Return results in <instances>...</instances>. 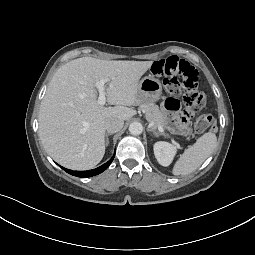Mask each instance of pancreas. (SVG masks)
I'll list each match as a JSON object with an SVG mask.
<instances>
[{
    "label": "pancreas",
    "instance_id": "obj_1",
    "mask_svg": "<svg viewBox=\"0 0 255 255\" xmlns=\"http://www.w3.org/2000/svg\"><path fill=\"white\" fill-rule=\"evenodd\" d=\"M140 109L145 113L146 119L153 124V128L165 127L163 114L154 103H143Z\"/></svg>",
    "mask_w": 255,
    "mask_h": 255
}]
</instances>
